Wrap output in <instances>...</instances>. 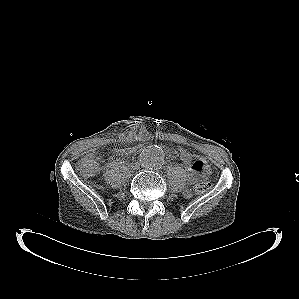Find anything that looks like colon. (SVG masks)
Listing matches in <instances>:
<instances>
[{"label":"colon","mask_w":299,"mask_h":299,"mask_svg":"<svg viewBox=\"0 0 299 299\" xmlns=\"http://www.w3.org/2000/svg\"><path fill=\"white\" fill-rule=\"evenodd\" d=\"M176 153L185 166H189L194 160L195 155L181 146L177 147ZM77 169L85 177L93 176L98 170L95 155L92 153L83 154L77 162ZM210 189L211 184L209 182H200L194 186V192L196 194H203Z\"/></svg>","instance_id":"obj_1"}]
</instances>
